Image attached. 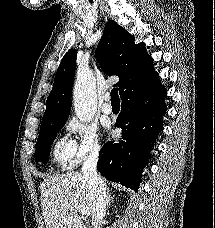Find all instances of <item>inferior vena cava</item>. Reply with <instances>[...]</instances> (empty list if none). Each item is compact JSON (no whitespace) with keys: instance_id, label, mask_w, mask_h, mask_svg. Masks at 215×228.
I'll list each match as a JSON object with an SVG mask.
<instances>
[{"instance_id":"602c4592","label":"inferior vena cava","mask_w":215,"mask_h":228,"mask_svg":"<svg viewBox=\"0 0 215 228\" xmlns=\"http://www.w3.org/2000/svg\"><path fill=\"white\" fill-rule=\"evenodd\" d=\"M100 148L95 146L82 164L83 178L87 180L92 190V228H100V222L105 218L108 190L105 182L97 172Z\"/></svg>"}]
</instances>
